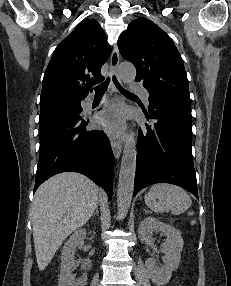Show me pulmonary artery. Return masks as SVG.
Instances as JSON below:
<instances>
[{"mask_svg":"<svg viewBox=\"0 0 231 286\" xmlns=\"http://www.w3.org/2000/svg\"><path fill=\"white\" fill-rule=\"evenodd\" d=\"M131 89L133 92L137 93V94H140L142 97H143V100L146 104L149 103V93L148 91L139 83L137 82H133L131 84ZM92 103V100L89 99L87 102H86V105L89 106L90 104Z\"/></svg>","mask_w":231,"mask_h":286,"instance_id":"1","label":"pulmonary artery"}]
</instances>
